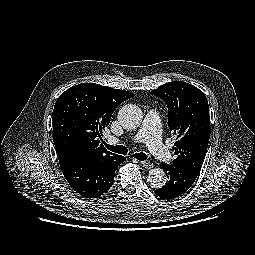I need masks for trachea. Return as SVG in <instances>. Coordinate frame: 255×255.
Masks as SVG:
<instances>
[{"label":"trachea","mask_w":255,"mask_h":255,"mask_svg":"<svg viewBox=\"0 0 255 255\" xmlns=\"http://www.w3.org/2000/svg\"><path fill=\"white\" fill-rule=\"evenodd\" d=\"M105 147L112 151V152H115V153H118V154H123V155H126L128 153V149L123 146V145H117V146H112V145H108V144H104ZM134 158H136L137 160H140V161H144L147 159V155L143 152H140V153H135L132 155Z\"/></svg>","instance_id":"obj_1"}]
</instances>
